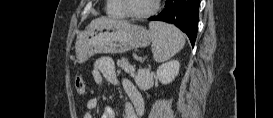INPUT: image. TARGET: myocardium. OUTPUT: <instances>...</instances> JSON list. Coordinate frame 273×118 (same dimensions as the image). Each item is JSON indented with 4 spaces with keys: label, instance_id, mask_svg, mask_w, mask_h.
I'll return each instance as SVG.
<instances>
[{
    "label": "myocardium",
    "instance_id": "obj_1",
    "mask_svg": "<svg viewBox=\"0 0 273 118\" xmlns=\"http://www.w3.org/2000/svg\"><path fill=\"white\" fill-rule=\"evenodd\" d=\"M121 4H122V7H123L126 15L128 17L134 18V19L149 18L152 15H154L159 8V0H154L152 7L144 12H133V11L129 10L128 9V0H121Z\"/></svg>",
    "mask_w": 273,
    "mask_h": 118
}]
</instances>
